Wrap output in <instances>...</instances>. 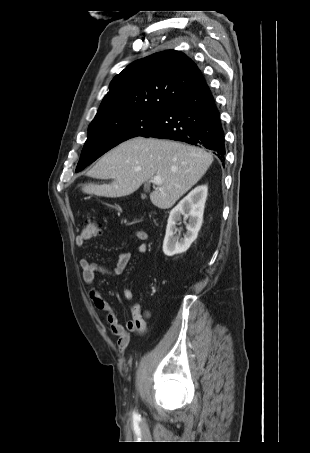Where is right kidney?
<instances>
[{"mask_svg": "<svg viewBox=\"0 0 310 453\" xmlns=\"http://www.w3.org/2000/svg\"><path fill=\"white\" fill-rule=\"evenodd\" d=\"M207 192L208 188L206 185H199L171 210L163 242V252L165 255L174 256L185 252L197 238L203 222ZM182 215L185 219L189 220L188 224H186L187 232L184 238L178 240L174 235L178 231L176 224L181 220Z\"/></svg>", "mask_w": 310, "mask_h": 453, "instance_id": "right-kidney-1", "label": "right kidney"}]
</instances>
